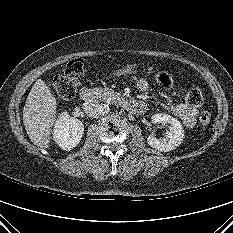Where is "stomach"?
I'll return each instance as SVG.
<instances>
[{"instance_id": "1", "label": "stomach", "mask_w": 233, "mask_h": 233, "mask_svg": "<svg viewBox=\"0 0 233 233\" xmlns=\"http://www.w3.org/2000/svg\"><path fill=\"white\" fill-rule=\"evenodd\" d=\"M134 70V68L132 66H128L126 68H123V69H120V70H116L113 75L114 76H117V77H120V76H125L127 74H130L132 73Z\"/></svg>"}]
</instances>
